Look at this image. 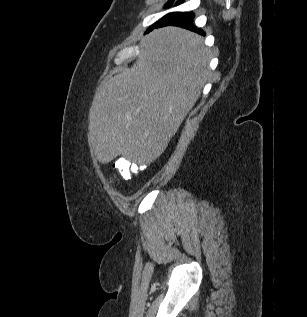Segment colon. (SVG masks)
Masks as SVG:
<instances>
[{
    "mask_svg": "<svg viewBox=\"0 0 307 317\" xmlns=\"http://www.w3.org/2000/svg\"><path fill=\"white\" fill-rule=\"evenodd\" d=\"M113 168L116 170L117 174L123 179H130L134 174H136L143 166L136 164H131L125 159H118L113 163Z\"/></svg>",
    "mask_w": 307,
    "mask_h": 317,
    "instance_id": "1",
    "label": "colon"
}]
</instances>
